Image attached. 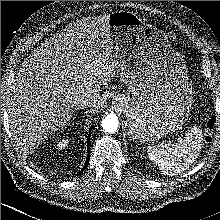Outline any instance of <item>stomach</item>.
Instances as JSON below:
<instances>
[{
  "instance_id": "obj_1",
  "label": "stomach",
  "mask_w": 220,
  "mask_h": 220,
  "mask_svg": "<svg viewBox=\"0 0 220 220\" xmlns=\"http://www.w3.org/2000/svg\"><path fill=\"white\" fill-rule=\"evenodd\" d=\"M115 58L128 93L113 99L127 116L128 131L154 142L179 129L193 103L188 68L163 31L130 11L109 15Z\"/></svg>"
}]
</instances>
